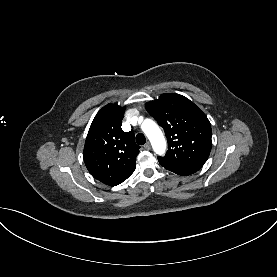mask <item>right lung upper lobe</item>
Listing matches in <instances>:
<instances>
[{"label":"right lung upper lobe","instance_id":"1","mask_svg":"<svg viewBox=\"0 0 277 277\" xmlns=\"http://www.w3.org/2000/svg\"><path fill=\"white\" fill-rule=\"evenodd\" d=\"M125 107L109 103L95 116L84 146V162L91 175L116 186L135 170L139 148L134 133L121 129Z\"/></svg>","mask_w":277,"mask_h":277}]
</instances>
